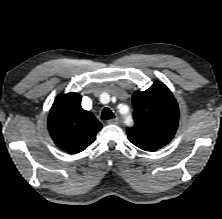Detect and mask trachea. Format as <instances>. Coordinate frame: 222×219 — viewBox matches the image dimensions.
Wrapping results in <instances>:
<instances>
[{
	"label": "trachea",
	"instance_id": "3493384b",
	"mask_svg": "<svg viewBox=\"0 0 222 219\" xmlns=\"http://www.w3.org/2000/svg\"><path fill=\"white\" fill-rule=\"evenodd\" d=\"M114 117H115L114 113L109 108L106 107L103 109L102 115H101L102 120H109V119H113Z\"/></svg>",
	"mask_w": 222,
	"mask_h": 219
}]
</instances>
